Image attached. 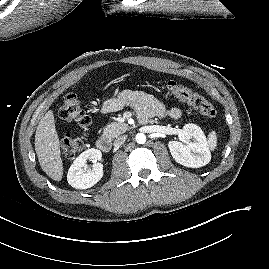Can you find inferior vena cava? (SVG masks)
Instances as JSON below:
<instances>
[{"mask_svg":"<svg viewBox=\"0 0 269 269\" xmlns=\"http://www.w3.org/2000/svg\"><path fill=\"white\" fill-rule=\"evenodd\" d=\"M125 140H126V136H125V135L118 137V138L115 140V142H114V146H115V147H119V146H121V145L125 142Z\"/></svg>","mask_w":269,"mask_h":269,"instance_id":"602c4592","label":"inferior vena cava"}]
</instances>
